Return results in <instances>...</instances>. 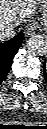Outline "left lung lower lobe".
Returning a JSON list of instances; mask_svg holds the SVG:
<instances>
[{"instance_id":"obj_1","label":"left lung lower lobe","mask_w":47,"mask_h":129,"mask_svg":"<svg viewBox=\"0 0 47 129\" xmlns=\"http://www.w3.org/2000/svg\"><path fill=\"white\" fill-rule=\"evenodd\" d=\"M45 65H46V62H44V64H43V74H44V77H45L46 82H47V73H46V67H45Z\"/></svg>"}]
</instances>
